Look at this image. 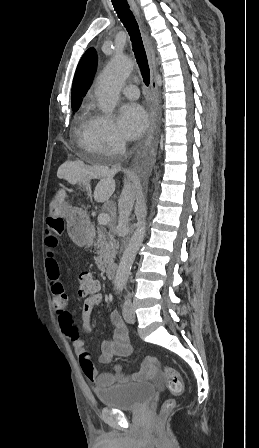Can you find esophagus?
<instances>
[{
    "instance_id": "1",
    "label": "esophagus",
    "mask_w": 259,
    "mask_h": 448,
    "mask_svg": "<svg viewBox=\"0 0 259 448\" xmlns=\"http://www.w3.org/2000/svg\"><path fill=\"white\" fill-rule=\"evenodd\" d=\"M128 1L135 12V15L140 20V11H139L137 4L135 3V0H128ZM144 40H145V46H146V51H147V55H148V62H149L150 71H151L150 84H151V90H152V94H153V107H154V111H156L157 106H158L159 95H158V86H157V78H156L157 65H156L155 53L152 48L151 41L146 33H144ZM155 116H156L155 114L152 115L151 127H150V130L148 131L147 138L144 143V148L142 150V157H144L146 155V148L150 145V142L153 137V130L156 127ZM134 170L136 172L139 171V166H136L134 168Z\"/></svg>"
}]
</instances>
